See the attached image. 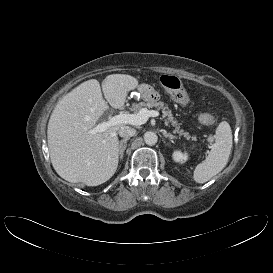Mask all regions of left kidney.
<instances>
[{
  "label": "left kidney",
  "instance_id": "obj_1",
  "mask_svg": "<svg viewBox=\"0 0 273 273\" xmlns=\"http://www.w3.org/2000/svg\"><path fill=\"white\" fill-rule=\"evenodd\" d=\"M188 159L186 153H182L181 151H174L173 160L178 163H184Z\"/></svg>",
  "mask_w": 273,
  "mask_h": 273
}]
</instances>
